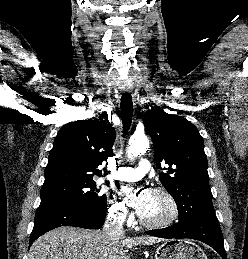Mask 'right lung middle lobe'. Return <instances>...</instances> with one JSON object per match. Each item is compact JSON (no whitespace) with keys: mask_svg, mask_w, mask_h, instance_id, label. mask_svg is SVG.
Wrapping results in <instances>:
<instances>
[{"mask_svg":"<svg viewBox=\"0 0 248 259\" xmlns=\"http://www.w3.org/2000/svg\"><path fill=\"white\" fill-rule=\"evenodd\" d=\"M98 192L93 180H63L44 183L40 195L41 202L60 201L106 211V195Z\"/></svg>","mask_w":248,"mask_h":259,"instance_id":"obj_1","label":"right lung middle lobe"}]
</instances>
